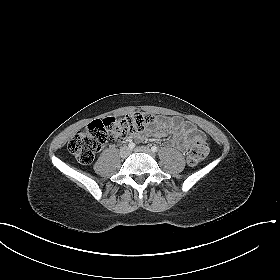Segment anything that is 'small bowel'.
Returning <instances> with one entry per match:
<instances>
[{
  "mask_svg": "<svg viewBox=\"0 0 280 280\" xmlns=\"http://www.w3.org/2000/svg\"><path fill=\"white\" fill-rule=\"evenodd\" d=\"M170 131L175 134L176 143L182 150H187L189 144L196 135H201L196 127L181 118H162L155 129H150L146 132L147 135L154 137H161L167 135ZM144 135L142 133L136 134L135 138L142 140Z\"/></svg>",
  "mask_w": 280,
  "mask_h": 280,
  "instance_id": "c3829d8e",
  "label": "small bowel"
}]
</instances>
